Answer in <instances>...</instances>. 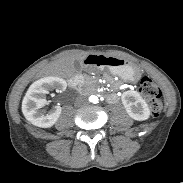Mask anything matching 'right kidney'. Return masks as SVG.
<instances>
[{
	"label": "right kidney",
	"instance_id": "right-kidney-1",
	"mask_svg": "<svg viewBox=\"0 0 183 183\" xmlns=\"http://www.w3.org/2000/svg\"><path fill=\"white\" fill-rule=\"evenodd\" d=\"M66 87V81L59 77H46L34 82L22 102V112L25 118L35 126L52 127L57 122L62 108L55 106L47 113L40 108L45 105V96L49 91L56 89L57 92H62Z\"/></svg>",
	"mask_w": 183,
	"mask_h": 183
}]
</instances>
